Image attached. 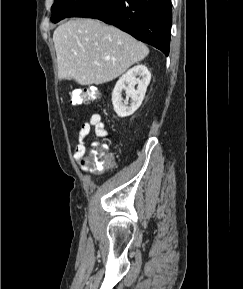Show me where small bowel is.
<instances>
[{"label": "small bowel", "mask_w": 243, "mask_h": 289, "mask_svg": "<svg viewBox=\"0 0 243 289\" xmlns=\"http://www.w3.org/2000/svg\"><path fill=\"white\" fill-rule=\"evenodd\" d=\"M91 131H94L97 138L103 139L109 136V132L105 127L102 117L98 113L92 114L89 121L82 123L77 131L78 144L74 149L73 155L84 172L89 171V165L85 162L87 157L85 139Z\"/></svg>", "instance_id": "small-bowel-1"}]
</instances>
